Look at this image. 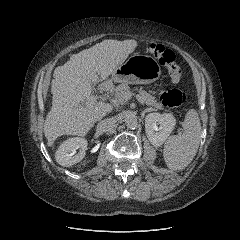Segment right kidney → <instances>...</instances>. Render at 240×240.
Listing matches in <instances>:
<instances>
[{"label": "right kidney", "mask_w": 240, "mask_h": 240, "mask_svg": "<svg viewBox=\"0 0 240 240\" xmlns=\"http://www.w3.org/2000/svg\"><path fill=\"white\" fill-rule=\"evenodd\" d=\"M88 142L81 137H73L65 140L56 150L55 159L63 167H70L79 163L85 156ZM79 152L76 153V150Z\"/></svg>", "instance_id": "ca27d5eb"}]
</instances>
